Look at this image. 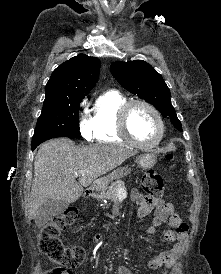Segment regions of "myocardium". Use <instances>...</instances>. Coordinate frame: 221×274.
Returning <instances> with one entry per match:
<instances>
[{"label":"myocardium","instance_id":"1","mask_svg":"<svg viewBox=\"0 0 221 274\" xmlns=\"http://www.w3.org/2000/svg\"><path fill=\"white\" fill-rule=\"evenodd\" d=\"M144 106L148 110L152 112V114L155 116L158 126H159V133L156 138V140L150 144H144L139 141H137L132 134L130 133L129 130V124H128V119H129V114L130 111L134 106ZM118 128L121 136L131 145L140 148V149H152L156 147L161 140L163 139L164 133H165V125L162 119V116L158 109L149 103L148 101L141 100V99H134V100H129L127 101L120 109L119 114H118Z\"/></svg>","mask_w":221,"mask_h":274}]
</instances>
